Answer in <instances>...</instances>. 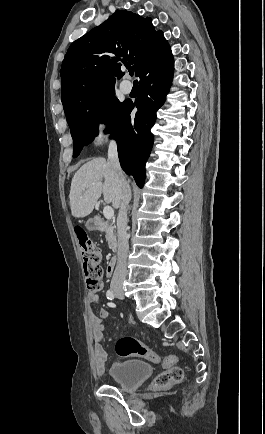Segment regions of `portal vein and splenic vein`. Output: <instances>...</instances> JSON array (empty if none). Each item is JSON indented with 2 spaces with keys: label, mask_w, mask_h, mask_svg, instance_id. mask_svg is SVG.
I'll list each match as a JSON object with an SVG mask.
<instances>
[{
  "label": "portal vein and splenic vein",
  "mask_w": 265,
  "mask_h": 434,
  "mask_svg": "<svg viewBox=\"0 0 265 434\" xmlns=\"http://www.w3.org/2000/svg\"><path fill=\"white\" fill-rule=\"evenodd\" d=\"M103 214H104V218H106V220H111V218H113V216H114V210H113V208H111V206H105V208L103 210Z\"/></svg>",
  "instance_id": "18ae733b"
}]
</instances>
